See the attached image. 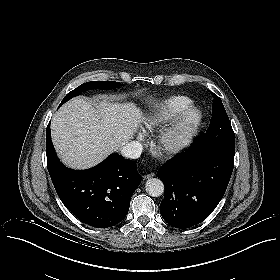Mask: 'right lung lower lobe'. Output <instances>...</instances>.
I'll list each match as a JSON object with an SVG mask.
<instances>
[{"instance_id": "98d812e1", "label": "right lung lower lobe", "mask_w": 280, "mask_h": 280, "mask_svg": "<svg viewBox=\"0 0 280 280\" xmlns=\"http://www.w3.org/2000/svg\"><path fill=\"white\" fill-rule=\"evenodd\" d=\"M47 167L63 204L83 223L96 228L117 225L127 215L141 179L136 163L112 154L88 170H71L58 159L46 131Z\"/></svg>"}]
</instances>
